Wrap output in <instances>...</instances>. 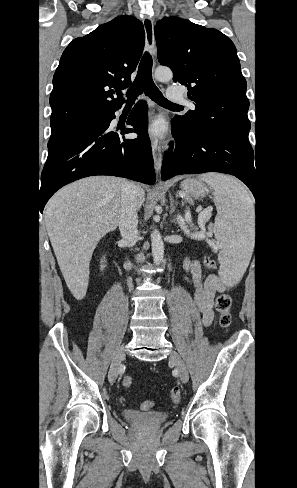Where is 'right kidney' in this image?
I'll list each match as a JSON object with an SVG mask.
<instances>
[{
	"label": "right kidney",
	"instance_id": "ca27d5eb",
	"mask_svg": "<svg viewBox=\"0 0 297 488\" xmlns=\"http://www.w3.org/2000/svg\"><path fill=\"white\" fill-rule=\"evenodd\" d=\"M105 260H101V270H103L106 266L104 265Z\"/></svg>",
	"mask_w": 297,
	"mask_h": 488
}]
</instances>
